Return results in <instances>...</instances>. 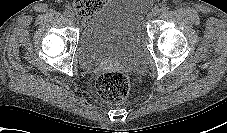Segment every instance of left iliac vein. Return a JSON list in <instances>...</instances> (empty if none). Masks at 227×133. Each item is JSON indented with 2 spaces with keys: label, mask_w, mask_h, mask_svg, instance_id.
Returning a JSON list of instances; mask_svg holds the SVG:
<instances>
[{
  "label": "left iliac vein",
  "mask_w": 227,
  "mask_h": 133,
  "mask_svg": "<svg viewBox=\"0 0 227 133\" xmlns=\"http://www.w3.org/2000/svg\"><path fill=\"white\" fill-rule=\"evenodd\" d=\"M153 16H158L160 14V10L158 8H155L152 12Z\"/></svg>",
  "instance_id": "obj_1"
}]
</instances>
